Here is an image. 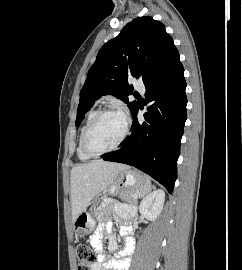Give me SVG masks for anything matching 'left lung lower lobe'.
I'll return each instance as SVG.
<instances>
[{
  "mask_svg": "<svg viewBox=\"0 0 242 270\" xmlns=\"http://www.w3.org/2000/svg\"><path fill=\"white\" fill-rule=\"evenodd\" d=\"M144 85V105H148L144 114L145 122H138L137 106L132 114L131 136L122 142L121 149L101 157L106 161L136 167L172 193L187 118L186 82L179 56L162 67Z\"/></svg>",
  "mask_w": 242,
  "mask_h": 270,
  "instance_id": "0a47b994",
  "label": "left lung lower lobe"
}]
</instances>
